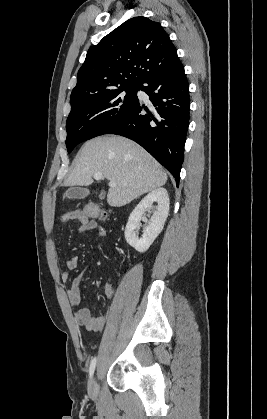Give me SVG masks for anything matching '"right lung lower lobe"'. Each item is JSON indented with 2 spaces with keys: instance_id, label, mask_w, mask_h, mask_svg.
<instances>
[{
  "instance_id": "1",
  "label": "right lung lower lobe",
  "mask_w": 267,
  "mask_h": 419,
  "mask_svg": "<svg viewBox=\"0 0 267 419\" xmlns=\"http://www.w3.org/2000/svg\"><path fill=\"white\" fill-rule=\"evenodd\" d=\"M138 90L150 97L154 107L148 109L137 98L127 114L105 134L121 135L140 144L170 171L178 186L190 109L189 84L182 63L179 60L151 73Z\"/></svg>"
}]
</instances>
